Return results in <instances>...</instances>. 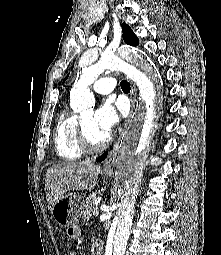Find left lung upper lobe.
I'll use <instances>...</instances> for the list:
<instances>
[{
    "label": "left lung upper lobe",
    "instance_id": "5c2ea615",
    "mask_svg": "<svg viewBox=\"0 0 221 255\" xmlns=\"http://www.w3.org/2000/svg\"><path fill=\"white\" fill-rule=\"evenodd\" d=\"M122 32H123V40L125 41V43L135 46L139 44V40L136 37V35L133 33L132 29L126 24L123 23L122 24ZM68 76H66L63 80V82L67 79Z\"/></svg>",
    "mask_w": 221,
    "mask_h": 255
}]
</instances>
